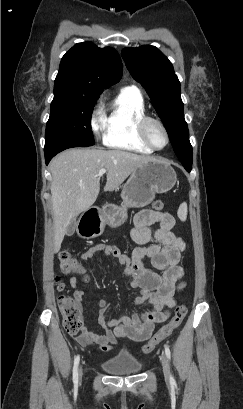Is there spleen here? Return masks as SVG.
<instances>
[{
  "label": "spleen",
  "instance_id": "obj_1",
  "mask_svg": "<svg viewBox=\"0 0 243 409\" xmlns=\"http://www.w3.org/2000/svg\"><path fill=\"white\" fill-rule=\"evenodd\" d=\"M178 217L181 221H185L187 218V203L183 202L177 211Z\"/></svg>",
  "mask_w": 243,
  "mask_h": 409
}]
</instances>
